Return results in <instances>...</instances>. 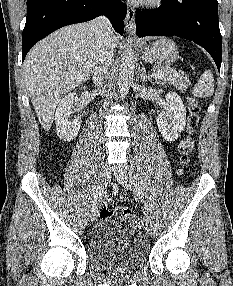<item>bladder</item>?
Listing matches in <instances>:
<instances>
[{
	"instance_id": "1",
	"label": "bladder",
	"mask_w": 233,
	"mask_h": 286,
	"mask_svg": "<svg viewBox=\"0 0 233 286\" xmlns=\"http://www.w3.org/2000/svg\"><path fill=\"white\" fill-rule=\"evenodd\" d=\"M87 249L94 264L106 269L123 270L143 265L150 246L134 227L104 218L90 233Z\"/></svg>"
}]
</instances>
